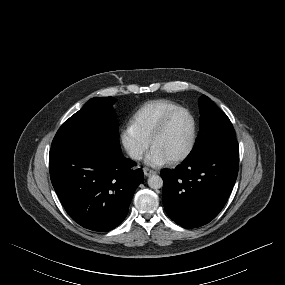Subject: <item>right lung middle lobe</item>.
I'll return each mask as SVG.
<instances>
[{"label":"right lung middle lobe","instance_id":"obj_1","mask_svg":"<svg viewBox=\"0 0 285 285\" xmlns=\"http://www.w3.org/2000/svg\"><path fill=\"white\" fill-rule=\"evenodd\" d=\"M115 101L113 97L90 99L81 110L62 124L50 150L87 146L108 153H120L119 124L112 109Z\"/></svg>","mask_w":285,"mask_h":285}]
</instances>
